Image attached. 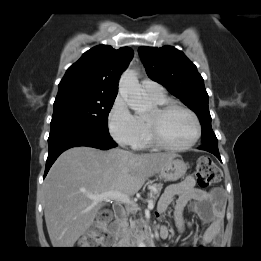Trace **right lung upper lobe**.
I'll return each mask as SVG.
<instances>
[{"instance_id": "right-lung-upper-lobe-1", "label": "right lung upper lobe", "mask_w": 261, "mask_h": 261, "mask_svg": "<svg viewBox=\"0 0 261 261\" xmlns=\"http://www.w3.org/2000/svg\"><path fill=\"white\" fill-rule=\"evenodd\" d=\"M133 57L130 47L98 45L70 66L59 83L58 94L114 96L121 73Z\"/></svg>"}]
</instances>
